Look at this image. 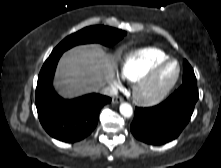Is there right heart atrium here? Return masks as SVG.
Segmentation results:
<instances>
[{"mask_svg": "<svg viewBox=\"0 0 221 168\" xmlns=\"http://www.w3.org/2000/svg\"><path fill=\"white\" fill-rule=\"evenodd\" d=\"M113 85L115 88H120L121 87V78L119 76H117L114 79Z\"/></svg>", "mask_w": 221, "mask_h": 168, "instance_id": "obj_1", "label": "right heart atrium"}]
</instances>
